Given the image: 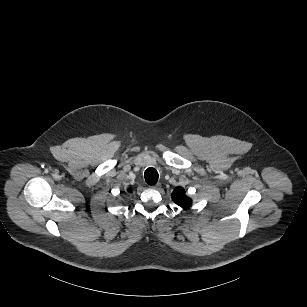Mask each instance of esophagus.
I'll use <instances>...</instances> for the list:
<instances>
[{"instance_id":"obj_1","label":"esophagus","mask_w":307,"mask_h":307,"mask_svg":"<svg viewBox=\"0 0 307 307\" xmlns=\"http://www.w3.org/2000/svg\"><path fill=\"white\" fill-rule=\"evenodd\" d=\"M154 189H160L161 188V183H156L155 185L152 186Z\"/></svg>"}]
</instances>
